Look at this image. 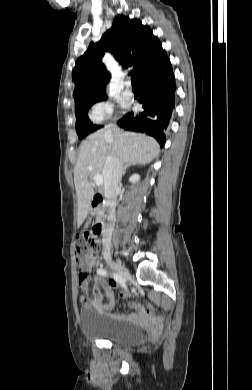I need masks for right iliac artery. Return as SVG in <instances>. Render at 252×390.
<instances>
[{
  "instance_id": "obj_1",
  "label": "right iliac artery",
  "mask_w": 252,
  "mask_h": 390,
  "mask_svg": "<svg viewBox=\"0 0 252 390\" xmlns=\"http://www.w3.org/2000/svg\"><path fill=\"white\" fill-rule=\"evenodd\" d=\"M97 273L102 275V276H107L109 273L107 272V270L103 269V268H100L97 270ZM110 275L117 281H119L120 283V286H123V289H129V286H126V280L124 279L123 276H121V274H111Z\"/></svg>"
}]
</instances>
